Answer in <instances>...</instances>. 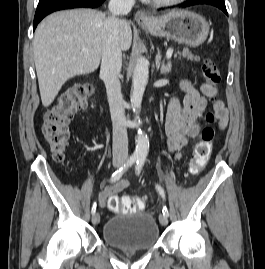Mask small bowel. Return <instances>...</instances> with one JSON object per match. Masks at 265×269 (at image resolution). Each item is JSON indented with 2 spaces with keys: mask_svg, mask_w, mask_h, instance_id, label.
<instances>
[{
  "mask_svg": "<svg viewBox=\"0 0 265 269\" xmlns=\"http://www.w3.org/2000/svg\"><path fill=\"white\" fill-rule=\"evenodd\" d=\"M180 89L184 93L183 106L180 99L174 95L169 102L165 122L167 149L175 160L184 156L189 140L197 136L196 122L206 108L207 98L215 94V90L207 83L196 88L189 81L181 80ZM214 111L220 128L224 129L228 122V112L224 103L220 100L215 101ZM130 184V180L121 179L106 186L98 196L100 206H105L110 196L127 189Z\"/></svg>",
  "mask_w": 265,
  "mask_h": 269,
  "instance_id": "small-bowel-1",
  "label": "small bowel"
}]
</instances>
